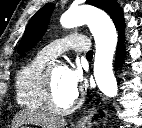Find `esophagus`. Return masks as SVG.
Instances as JSON below:
<instances>
[{
  "label": "esophagus",
  "instance_id": "esophagus-1",
  "mask_svg": "<svg viewBox=\"0 0 142 128\" xmlns=\"http://www.w3.org/2000/svg\"><path fill=\"white\" fill-rule=\"evenodd\" d=\"M95 112H96V106H95V104H92V106L89 109V111L87 112V114L82 116L81 118H79L73 124V128H87V126L89 125L90 120Z\"/></svg>",
  "mask_w": 142,
  "mask_h": 128
}]
</instances>
